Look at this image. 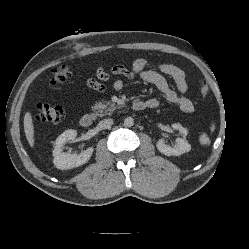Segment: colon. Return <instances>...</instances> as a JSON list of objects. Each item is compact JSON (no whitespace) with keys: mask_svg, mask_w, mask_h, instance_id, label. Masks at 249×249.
<instances>
[{"mask_svg":"<svg viewBox=\"0 0 249 249\" xmlns=\"http://www.w3.org/2000/svg\"><path fill=\"white\" fill-rule=\"evenodd\" d=\"M73 68L67 65L54 68L50 73V83L55 85L59 82L65 81L72 76ZM199 91L202 96L209 94V87L205 80L198 81ZM64 115L62 107L49 105L45 103H38L35 108L34 120L36 122H52L58 123Z\"/></svg>","mask_w":249,"mask_h":249,"instance_id":"colon-1","label":"colon"}]
</instances>
